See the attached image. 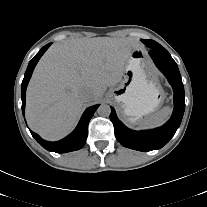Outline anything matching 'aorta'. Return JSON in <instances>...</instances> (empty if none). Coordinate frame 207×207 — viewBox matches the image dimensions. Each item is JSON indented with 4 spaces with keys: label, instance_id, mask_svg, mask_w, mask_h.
Segmentation results:
<instances>
[{
    "label": "aorta",
    "instance_id": "aorta-1",
    "mask_svg": "<svg viewBox=\"0 0 207 207\" xmlns=\"http://www.w3.org/2000/svg\"><path fill=\"white\" fill-rule=\"evenodd\" d=\"M97 113L100 115V116H103V117H108L111 113V108L109 105L107 104H102L98 107L97 109Z\"/></svg>",
    "mask_w": 207,
    "mask_h": 207
}]
</instances>
